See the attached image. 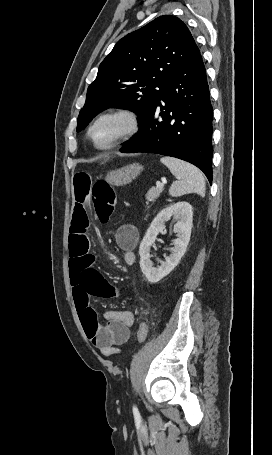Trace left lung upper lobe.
Instances as JSON below:
<instances>
[{
    "instance_id": "left-lung-upper-lobe-1",
    "label": "left lung upper lobe",
    "mask_w": 272,
    "mask_h": 455,
    "mask_svg": "<svg viewBox=\"0 0 272 455\" xmlns=\"http://www.w3.org/2000/svg\"><path fill=\"white\" fill-rule=\"evenodd\" d=\"M199 55L189 29L175 16H160L129 33L100 64L78 116L77 132L107 108L129 109L141 123L171 75Z\"/></svg>"
}]
</instances>
